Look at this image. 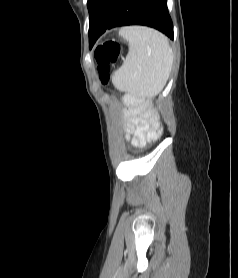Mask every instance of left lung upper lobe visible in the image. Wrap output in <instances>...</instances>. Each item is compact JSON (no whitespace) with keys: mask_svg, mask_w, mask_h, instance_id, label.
I'll return each mask as SVG.
<instances>
[{"mask_svg":"<svg viewBox=\"0 0 238 278\" xmlns=\"http://www.w3.org/2000/svg\"><path fill=\"white\" fill-rule=\"evenodd\" d=\"M98 0H88L87 2V6H88V11H89V15L91 14L95 4L97 3Z\"/></svg>","mask_w":238,"mask_h":278,"instance_id":"obj_1","label":"left lung upper lobe"}]
</instances>
